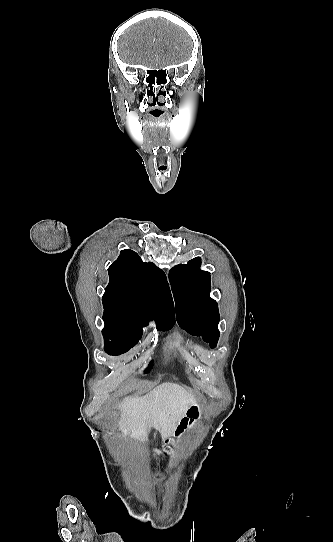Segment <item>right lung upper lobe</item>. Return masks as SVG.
Masks as SVG:
<instances>
[{
  "mask_svg": "<svg viewBox=\"0 0 333 542\" xmlns=\"http://www.w3.org/2000/svg\"><path fill=\"white\" fill-rule=\"evenodd\" d=\"M109 284L102 297L104 314L136 318L156 327L173 326L174 307L164 272L143 262L129 249L122 250L108 268Z\"/></svg>",
  "mask_w": 333,
  "mask_h": 542,
  "instance_id": "obj_1",
  "label": "right lung upper lobe"
}]
</instances>
